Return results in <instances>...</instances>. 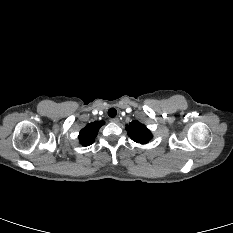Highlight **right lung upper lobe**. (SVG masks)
<instances>
[{
    "instance_id": "cb5924a9",
    "label": "right lung upper lobe",
    "mask_w": 233,
    "mask_h": 233,
    "mask_svg": "<svg viewBox=\"0 0 233 233\" xmlns=\"http://www.w3.org/2000/svg\"><path fill=\"white\" fill-rule=\"evenodd\" d=\"M104 125L103 121H95L88 124L84 129L80 131L79 141L83 146L91 145L94 142V138L98 133L99 128Z\"/></svg>"
}]
</instances>
